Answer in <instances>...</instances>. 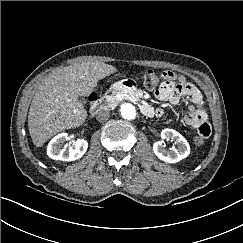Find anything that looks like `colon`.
Segmentation results:
<instances>
[{"instance_id": "colon-1", "label": "colon", "mask_w": 243, "mask_h": 243, "mask_svg": "<svg viewBox=\"0 0 243 243\" xmlns=\"http://www.w3.org/2000/svg\"><path fill=\"white\" fill-rule=\"evenodd\" d=\"M162 78H164V73L149 70L143 76V84L147 89L153 90L158 86ZM193 141L196 145L200 146L204 143L205 138L198 134L194 137Z\"/></svg>"}]
</instances>
